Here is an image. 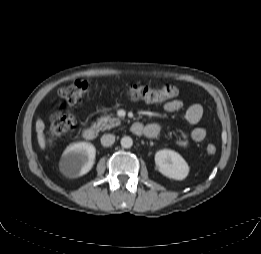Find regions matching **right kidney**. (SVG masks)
<instances>
[{"mask_svg": "<svg viewBox=\"0 0 261 254\" xmlns=\"http://www.w3.org/2000/svg\"><path fill=\"white\" fill-rule=\"evenodd\" d=\"M96 149L91 143L71 144L63 153L60 162L62 173L67 177H79L88 173L95 162Z\"/></svg>", "mask_w": 261, "mask_h": 254, "instance_id": "ca27d5eb", "label": "right kidney"}]
</instances>
